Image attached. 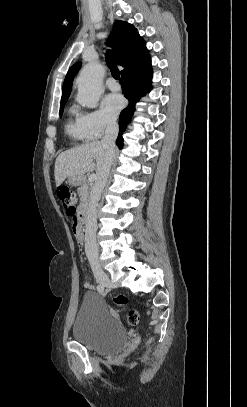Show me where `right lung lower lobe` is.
<instances>
[{
    "mask_svg": "<svg viewBox=\"0 0 247 407\" xmlns=\"http://www.w3.org/2000/svg\"><path fill=\"white\" fill-rule=\"evenodd\" d=\"M151 73V60L146 58L121 74L120 83L124 96L129 100V105L122 110L119 117V134L116 140L119 149L124 145L122 134L135 111L136 102L151 89Z\"/></svg>",
    "mask_w": 247,
    "mask_h": 407,
    "instance_id": "1",
    "label": "right lung lower lobe"
}]
</instances>
